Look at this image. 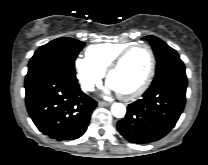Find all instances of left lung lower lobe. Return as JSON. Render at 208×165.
Segmentation results:
<instances>
[{
  "label": "left lung lower lobe",
  "mask_w": 208,
  "mask_h": 165,
  "mask_svg": "<svg viewBox=\"0 0 208 165\" xmlns=\"http://www.w3.org/2000/svg\"><path fill=\"white\" fill-rule=\"evenodd\" d=\"M187 76L183 63L156 73L142 99L129 104L125 117L118 121L120 134L132 143L159 140L170 132L185 105Z\"/></svg>",
  "instance_id": "left-lung-lower-lobe-1"
}]
</instances>
